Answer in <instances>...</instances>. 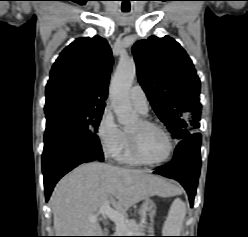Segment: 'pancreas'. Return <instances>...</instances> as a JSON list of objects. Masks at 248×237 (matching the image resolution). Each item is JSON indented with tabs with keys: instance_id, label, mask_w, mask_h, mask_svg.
Here are the masks:
<instances>
[{
	"instance_id": "cf45deb5",
	"label": "pancreas",
	"mask_w": 248,
	"mask_h": 237,
	"mask_svg": "<svg viewBox=\"0 0 248 237\" xmlns=\"http://www.w3.org/2000/svg\"><path fill=\"white\" fill-rule=\"evenodd\" d=\"M116 236H141L143 228L135 220H126L125 227L116 228Z\"/></svg>"
}]
</instances>
